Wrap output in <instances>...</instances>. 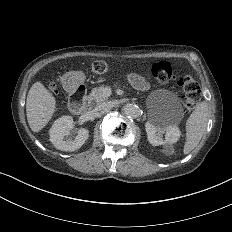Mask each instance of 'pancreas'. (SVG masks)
I'll use <instances>...</instances> for the list:
<instances>
[{
  "label": "pancreas",
  "instance_id": "obj_1",
  "mask_svg": "<svg viewBox=\"0 0 232 232\" xmlns=\"http://www.w3.org/2000/svg\"><path fill=\"white\" fill-rule=\"evenodd\" d=\"M106 88L107 87L102 85L92 89L91 93L86 98L89 107L100 104L108 98L107 94L105 93Z\"/></svg>",
  "mask_w": 232,
  "mask_h": 232
}]
</instances>
